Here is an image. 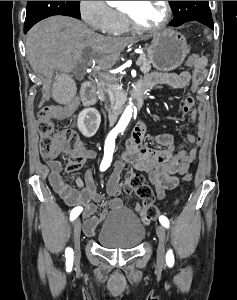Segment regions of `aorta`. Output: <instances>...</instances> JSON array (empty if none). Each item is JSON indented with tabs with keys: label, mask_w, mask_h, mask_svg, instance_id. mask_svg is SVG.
Here are the masks:
<instances>
[{
	"label": "aorta",
	"mask_w": 237,
	"mask_h": 300,
	"mask_svg": "<svg viewBox=\"0 0 237 300\" xmlns=\"http://www.w3.org/2000/svg\"><path fill=\"white\" fill-rule=\"evenodd\" d=\"M132 113H133V105H128V107H126L122 117H120L119 119V123H118V127L119 129H122V131H124V129H126L127 125H129L131 119H132Z\"/></svg>",
	"instance_id": "1"
}]
</instances>
